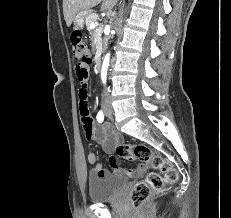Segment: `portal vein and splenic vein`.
I'll return each mask as SVG.
<instances>
[{"label":"portal vein and splenic vein","mask_w":231,"mask_h":218,"mask_svg":"<svg viewBox=\"0 0 231 218\" xmlns=\"http://www.w3.org/2000/svg\"><path fill=\"white\" fill-rule=\"evenodd\" d=\"M97 25H98L97 22H92V23L90 24V28H95Z\"/></svg>","instance_id":"portal-vein-and-splenic-vein-1"}]
</instances>
